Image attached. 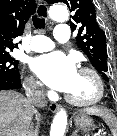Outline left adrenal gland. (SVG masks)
Returning <instances> with one entry per match:
<instances>
[{"instance_id":"left-adrenal-gland-1","label":"left adrenal gland","mask_w":117,"mask_h":136,"mask_svg":"<svg viewBox=\"0 0 117 136\" xmlns=\"http://www.w3.org/2000/svg\"><path fill=\"white\" fill-rule=\"evenodd\" d=\"M71 136H77V130H75Z\"/></svg>"}]
</instances>
